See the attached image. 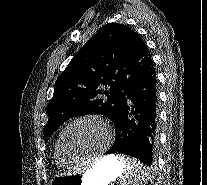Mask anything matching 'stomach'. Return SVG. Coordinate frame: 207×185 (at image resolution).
Masks as SVG:
<instances>
[{
    "label": "stomach",
    "instance_id": "1",
    "mask_svg": "<svg viewBox=\"0 0 207 185\" xmlns=\"http://www.w3.org/2000/svg\"><path fill=\"white\" fill-rule=\"evenodd\" d=\"M124 163L118 155H109L98 160L84 173L56 176L51 185H108L123 174Z\"/></svg>",
    "mask_w": 207,
    "mask_h": 185
}]
</instances>
